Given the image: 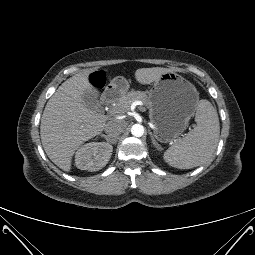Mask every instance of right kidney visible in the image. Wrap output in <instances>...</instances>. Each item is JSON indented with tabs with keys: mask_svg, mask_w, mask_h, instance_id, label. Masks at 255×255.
Wrapping results in <instances>:
<instances>
[{
	"mask_svg": "<svg viewBox=\"0 0 255 255\" xmlns=\"http://www.w3.org/2000/svg\"><path fill=\"white\" fill-rule=\"evenodd\" d=\"M113 148L102 142H90L80 147L75 155V165L81 170L97 171L109 161Z\"/></svg>",
	"mask_w": 255,
	"mask_h": 255,
	"instance_id": "ca27d5eb",
	"label": "right kidney"
}]
</instances>
